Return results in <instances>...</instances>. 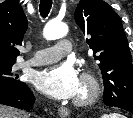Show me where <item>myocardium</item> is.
<instances>
[{"mask_svg": "<svg viewBox=\"0 0 133 118\" xmlns=\"http://www.w3.org/2000/svg\"><path fill=\"white\" fill-rule=\"evenodd\" d=\"M82 94L78 95L74 103L78 106L93 104L100 95V84L97 78L90 72H84L81 78Z\"/></svg>", "mask_w": 133, "mask_h": 118, "instance_id": "1", "label": "myocardium"}]
</instances>
